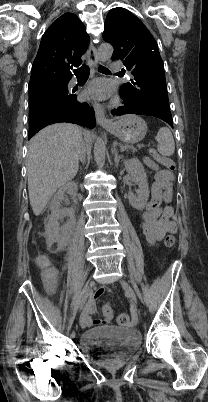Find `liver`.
Returning <instances> with one entry per match:
<instances>
[{
    "mask_svg": "<svg viewBox=\"0 0 208 402\" xmlns=\"http://www.w3.org/2000/svg\"><path fill=\"white\" fill-rule=\"evenodd\" d=\"M82 130L73 124H53L38 132L27 152L28 194L35 216H40L58 188L75 178Z\"/></svg>",
    "mask_w": 208,
    "mask_h": 402,
    "instance_id": "1",
    "label": "liver"
}]
</instances>
